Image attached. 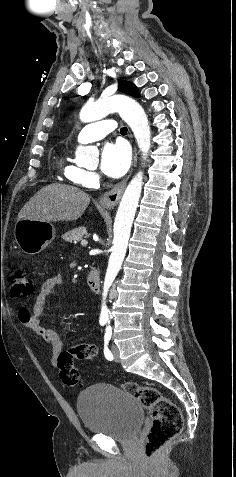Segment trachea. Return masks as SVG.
I'll list each match as a JSON object with an SVG mask.
<instances>
[{
	"instance_id": "obj_1",
	"label": "trachea",
	"mask_w": 236,
	"mask_h": 477,
	"mask_svg": "<svg viewBox=\"0 0 236 477\" xmlns=\"http://www.w3.org/2000/svg\"><path fill=\"white\" fill-rule=\"evenodd\" d=\"M120 133L121 134H126L127 133V128L126 127L121 128Z\"/></svg>"
}]
</instances>
